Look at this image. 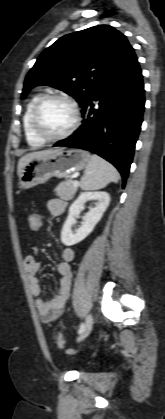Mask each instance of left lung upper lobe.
<instances>
[{
  "mask_svg": "<svg viewBox=\"0 0 165 419\" xmlns=\"http://www.w3.org/2000/svg\"><path fill=\"white\" fill-rule=\"evenodd\" d=\"M133 54L126 37L109 25L65 35L38 57L26 76L21 98L36 85H48L73 96L83 108L103 80Z\"/></svg>",
  "mask_w": 165,
  "mask_h": 419,
  "instance_id": "obj_1",
  "label": "left lung upper lobe"
}]
</instances>
